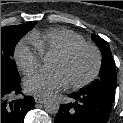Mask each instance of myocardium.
Returning <instances> with one entry per match:
<instances>
[{
    "mask_svg": "<svg viewBox=\"0 0 123 123\" xmlns=\"http://www.w3.org/2000/svg\"><path fill=\"white\" fill-rule=\"evenodd\" d=\"M81 50H90L94 54L95 66L91 74L84 80L68 83L69 87L73 89L84 88L90 85L97 78L102 67V54L97 46L90 43H82V44L73 45L67 49H64L62 51L55 53V56H58L63 59H68Z\"/></svg>",
    "mask_w": 123,
    "mask_h": 123,
    "instance_id": "f54148a6",
    "label": "myocardium"
}]
</instances>
